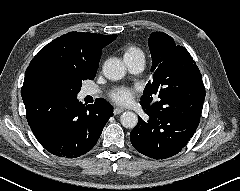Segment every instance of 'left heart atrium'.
Listing matches in <instances>:
<instances>
[{
    "instance_id": "1",
    "label": "left heart atrium",
    "mask_w": 240,
    "mask_h": 191,
    "mask_svg": "<svg viewBox=\"0 0 240 191\" xmlns=\"http://www.w3.org/2000/svg\"><path fill=\"white\" fill-rule=\"evenodd\" d=\"M134 96V90L128 87H117L110 93V98L117 104H127Z\"/></svg>"
}]
</instances>
